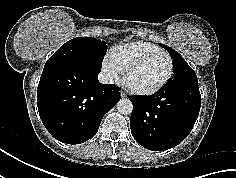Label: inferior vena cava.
Wrapping results in <instances>:
<instances>
[{
  "label": "inferior vena cava",
  "mask_w": 236,
  "mask_h": 178,
  "mask_svg": "<svg viewBox=\"0 0 236 178\" xmlns=\"http://www.w3.org/2000/svg\"><path fill=\"white\" fill-rule=\"evenodd\" d=\"M98 79L103 84H111L114 82L113 76L109 71H102L99 74Z\"/></svg>",
  "instance_id": "obj_1"
}]
</instances>
